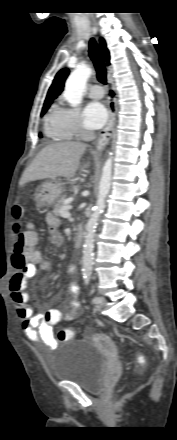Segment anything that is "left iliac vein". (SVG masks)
<instances>
[{"mask_svg": "<svg viewBox=\"0 0 177 440\" xmlns=\"http://www.w3.org/2000/svg\"><path fill=\"white\" fill-rule=\"evenodd\" d=\"M101 301L99 303L96 304V308L97 310H101V308L103 307V305L106 303V300L103 297H100Z\"/></svg>", "mask_w": 177, "mask_h": 440, "instance_id": "obj_1", "label": "left iliac vein"}]
</instances>
